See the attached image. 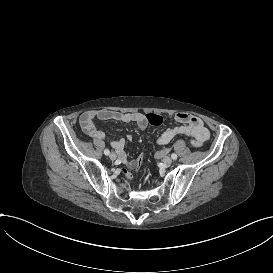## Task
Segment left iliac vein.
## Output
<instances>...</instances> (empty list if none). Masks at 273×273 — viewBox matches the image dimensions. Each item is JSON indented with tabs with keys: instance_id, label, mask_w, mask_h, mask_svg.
<instances>
[{
	"instance_id": "1",
	"label": "left iliac vein",
	"mask_w": 273,
	"mask_h": 273,
	"mask_svg": "<svg viewBox=\"0 0 273 273\" xmlns=\"http://www.w3.org/2000/svg\"><path fill=\"white\" fill-rule=\"evenodd\" d=\"M172 162H173V161H172V158L169 157V156H167V157H165V158L163 159V163H164L165 165H170Z\"/></svg>"
}]
</instances>
